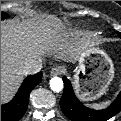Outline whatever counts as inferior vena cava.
<instances>
[{"label": "inferior vena cava", "mask_w": 121, "mask_h": 121, "mask_svg": "<svg viewBox=\"0 0 121 121\" xmlns=\"http://www.w3.org/2000/svg\"><path fill=\"white\" fill-rule=\"evenodd\" d=\"M42 69V59L36 57L28 58L21 66L24 75L36 74Z\"/></svg>", "instance_id": "1"}]
</instances>
